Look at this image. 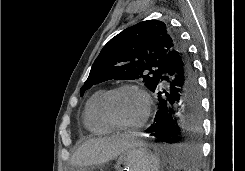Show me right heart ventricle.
<instances>
[{
	"label": "right heart ventricle",
	"mask_w": 245,
	"mask_h": 171,
	"mask_svg": "<svg viewBox=\"0 0 245 171\" xmlns=\"http://www.w3.org/2000/svg\"><path fill=\"white\" fill-rule=\"evenodd\" d=\"M106 90L96 91L87 101L83 114V122L88 131L94 134H108L114 128L103 118L100 111V102Z\"/></svg>",
	"instance_id": "e07e8e85"
}]
</instances>
